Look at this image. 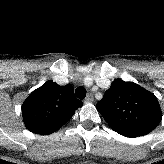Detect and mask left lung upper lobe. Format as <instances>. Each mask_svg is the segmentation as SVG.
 I'll use <instances>...</instances> for the list:
<instances>
[{
  "label": "left lung upper lobe",
  "instance_id": "left-lung-upper-lobe-1",
  "mask_svg": "<svg viewBox=\"0 0 164 164\" xmlns=\"http://www.w3.org/2000/svg\"><path fill=\"white\" fill-rule=\"evenodd\" d=\"M96 108L117 133L143 136L155 129L162 118L153 93L121 79L112 82Z\"/></svg>",
  "mask_w": 164,
  "mask_h": 164
}]
</instances>
